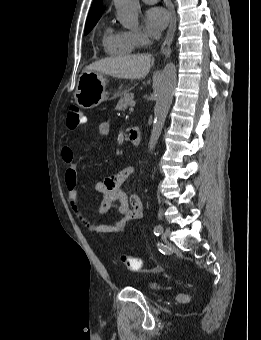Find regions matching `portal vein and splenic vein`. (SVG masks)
I'll return each instance as SVG.
<instances>
[{
    "label": "portal vein and splenic vein",
    "instance_id": "obj_1",
    "mask_svg": "<svg viewBox=\"0 0 261 340\" xmlns=\"http://www.w3.org/2000/svg\"><path fill=\"white\" fill-rule=\"evenodd\" d=\"M129 110H130V111H134V107L131 106V107L129 108Z\"/></svg>",
    "mask_w": 261,
    "mask_h": 340
}]
</instances>
